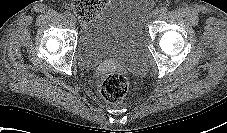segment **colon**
Wrapping results in <instances>:
<instances>
[{
    "instance_id": "1",
    "label": "colon",
    "mask_w": 227,
    "mask_h": 133,
    "mask_svg": "<svg viewBox=\"0 0 227 133\" xmlns=\"http://www.w3.org/2000/svg\"><path fill=\"white\" fill-rule=\"evenodd\" d=\"M107 0H73L74 12L84 21L90 20L106 4ZM96 88L99 95L111 103H119L125 99L129 91L127 78L117 72H107L98 75Z\"/></svg>"
}]
</instances>
